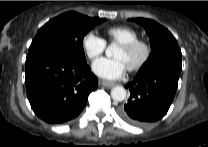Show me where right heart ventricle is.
<instances>
[{
  "label": "right heart ventricle",
  "instance_id": "1",
  "mask_svg": "<svg viewBox=\"0 0 208 147\" xmlns=\"http://www.w3.org/2000/svg\"><path fill=\"white\" fill-rule=\"evenodd\" d=\"M107 40L110 43L121 44L138 38V33L128 26H115L106 30Z\"/></svg>",
  "mask_w": 208,
  "mask_h": 147
}]
</instances>
